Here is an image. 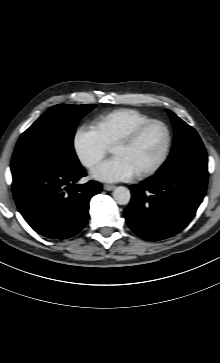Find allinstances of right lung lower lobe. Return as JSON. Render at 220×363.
Returning a JSON list of instances; mask_svg holds the SVG:
<instances>
[{"mask_svg":"<svg viewBox=\"0 0 220 363\" xmlns=\"http://www.w3.org/2000/svg\"><path fill=\"white\" fill-rule=\"evenodd\" d=\"M86 176L83 167L66 171L34 167L13 176L12 190L19 212L39 234L66 239L88 220L89 201L102 189L100 183L75 184Z\"/></svg>","mask_w":220,"mask_h":363,"instance_id":"1","label":"right lung lower lobe"}]
</instances>
